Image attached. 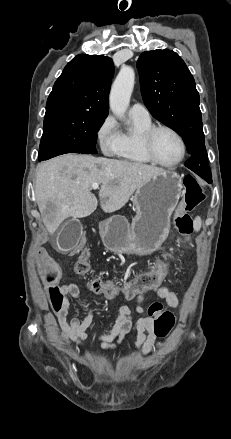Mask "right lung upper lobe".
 I'll return each instance as SVG.
<instances>
[{
	"mask_svg": "<svg viewBox=\"0 0 231 439\" xmlns=\"http://www.w3.org/2000/svg\"><path fill=\"white\" fill-rule=\"evenodd\" d=\"M114 65L102 55H77L54 84L45 117L63 113L108 115Z\"/></svg>",
	"mask_w": 231,
	"mask_h": 439,
	"instance_id": "1",
	"label": "right lung upper lobe"
}]
</instances>
